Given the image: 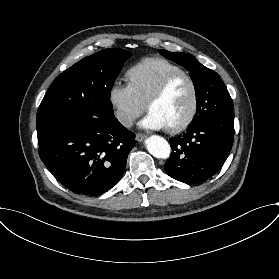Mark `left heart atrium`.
Returning a JSON list of instances; mask_svg holds the SVG:
<instances>
[{"label": "left heart atrium", "mask_w": 279, "mask_h": 279, "mask_svg": "<svg viewBox=\"0 0 279 279\" xmlns=\"http://www.w3.org/2000/svg\"><path fill=\"white\" fill-rule=\"evenodd\" d=\"M140 126L150 130H160L167 128L165 121L154 112L149 111L141 121Z\"/></svg>", "instance_id": "39dd6f15"}]
</instances>
